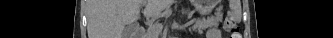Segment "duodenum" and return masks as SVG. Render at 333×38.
<instances>
[{
	"instance_id": "1",
	"label": "duodenum",
	"mask_w": 333,
	"mask_h": 38,
	"mask_svg": "<svg viewBox=\"0 0 333 38\" xmlns=\"http://www.w3.org/2000/svg\"><path fill=\"white\" fill-rule=\"evenodd\" d=\"M140 34H141V36H143L144 32H141Z\"/></svg>"
}]
</instances>
